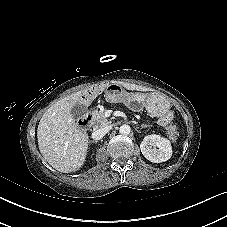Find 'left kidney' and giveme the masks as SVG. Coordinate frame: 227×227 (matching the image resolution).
I'll return each instance as SVG.
<instances>
[{"label": "left kidney", "instance_id": "1", "mask_svg": "<svg viewBox=\"0 0 227 227\" xmlns=\"http://www.w3.org/2000/svg\"><path fill=\"white\" fill-rule=\"evenodd\" d=\"M140 149L144 157L153 163L165 162L172 156L170 141L156 134L145 136Z\"/></svg>", "mask_w": 227, "mask_h": 227}]
</instances>
